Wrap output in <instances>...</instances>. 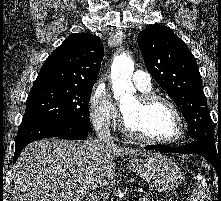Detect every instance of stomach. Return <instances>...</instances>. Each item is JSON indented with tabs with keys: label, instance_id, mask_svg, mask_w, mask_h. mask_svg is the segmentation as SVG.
<instances>
[{
	"label": "stomach",
	"instance_id": "1",
	"mask_svg": "<svg viewBox=\"0 0 221 201\" xmlns=\"http://www.w3.org/2000/svg\"><path fill=\"white\" fill-rule=\"evenodd\" d=\"M128 167L158 191H171L182 181V173L178 166L159 153H150L144 159L131 161Z\"/></svg>",
	"mask_w": 221,
	"mask_h": 201
}]
</instances>
